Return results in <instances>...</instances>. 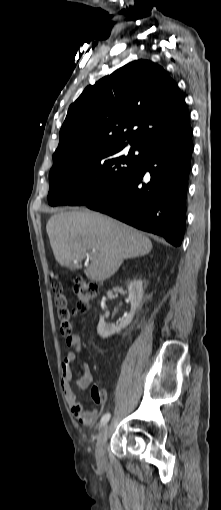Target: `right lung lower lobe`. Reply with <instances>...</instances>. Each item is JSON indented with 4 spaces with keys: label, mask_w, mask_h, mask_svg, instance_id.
<instances>
[{
    "label": "right lung lower lobe",
    "mask_w": 221,
    "mask_h": 510,
    "mask_svg": "<svg viewBox=\"0 0 221 510\" xmlns=\"http://www.w3.org/2000/svg\"><path fill=\"white\" fill-rule=\"evenodd\" d=\"M192 134L189 126L147 142L140 148V164L135 173L85 205L180 246L185 229Z\"/></svg>",
    "instance_id": "obj_1"
}]
</instances>
